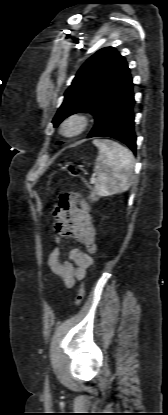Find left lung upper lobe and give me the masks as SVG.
<instances>
[{"instance_id":"5c2ea615","label":"left lung upper lobe","mask_w":168,"mask_h":415,"mask_svg":"<svg viewBox=\"0 0 168 415\" xmlns=\"http://www.w3.org/2000/svg\"><path fill=\"white\" fill-rule=\"evenodd\" d=\"M131 81L128 64L115 48L97 51L82 65L65 92L64 101L53 119L54 127L78 112H89L96 119Z\"/></svg>"}]
</instances>
